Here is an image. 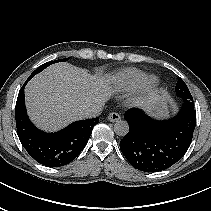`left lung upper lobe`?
<instances>
[{"label": "left lung upper lobe", "mask_w": 211, "mask_h": 211, "mask_svg": "<svg viewBox=\"0 0 211 211\" xmlns=\"http://www.w3.org/2000/svg\"><path fill=\"white\" fill-rule=\"evenodd\" d=\"M175 91H176V95L183 100L193 99L188 87L186 86V84L180 77H178V82L176 84Z\"/></svg>", "instance_id": "5c2ea615"}]
</instances>
